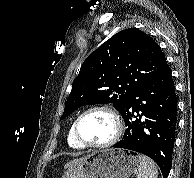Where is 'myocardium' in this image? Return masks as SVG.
Wrapping results in <instances>:
<instances>
[{
  "instance_id": "obj_1",
  "label": "myocardium",
  "mask_w": 194,
  "mask_h": 178,
  "mask_svg": "<svg viewBox=\"0 0 194 178\" xmlns=\"http://www.w3.org/2000/svg\"><path fill=\"white\" fill-rule=\"evenodd\" d=\"M94 111L105 112L114 121V125H115L114 133H113L112 137L109 140H107L106 142L89 143V142H86L79 134V124H80L81 119L86 114L94 112ZM122 131H123V123H122L120 115L118 114V112L116 110H114L112 107L107 106V105H94V106H91V107L85 109L82 113H80L78 115V117L75 119V121L73 123V136H74L75 140L80 145H82L83 147H87V148H107V147H110L118 142V140L120 139V137L122 135Z\"/></svg>"
}]
</instances>
